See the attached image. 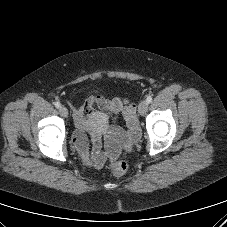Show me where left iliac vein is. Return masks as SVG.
Masks as SVG:
<instances>
[{
	"mask_svg": "<svg viewBox=\"0 0 227 227\" xmlns=\"http://www.w3.org/2000/svg\"><path fill=\"white\" fill-rule=\"evenodd\" d=\"M148 110V103L146 101H141V103L139 104V107H138V111L140 113V115H145L146 112Z\"/></svg>",
	"mask_w": 227,
	"mask_h": 227,
	"instance_id": "left-iliac-vein-1",
	"label": "left iliac vein"
}]
</instances>
